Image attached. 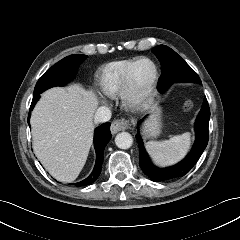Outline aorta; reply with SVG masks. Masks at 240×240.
I'll return each mask as SVG.
<instances>
[{
	"mask_svg": "<svg viewBox=\"0 0 240 240\" xmlns=\"http://www.w3.org/2000/svg\"><path fill=\"white\" fill-rule=\"evenodd\" d=\"M115 144L120 149H128L133 144V138L128 132H121L116 135Z\"/></svg>",
	"mask_w": 240,
	"mask_h": 240,
	"instance_id": "1",
	"label": "aorta"
}]
</instances>
